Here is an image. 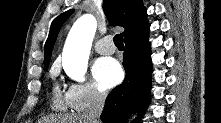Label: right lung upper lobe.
<instances>
[{"label": "right lung upper lobe", "mask_w": 221, "mask_h": 123, "mask_svg": "<svg viewBox=\"0 0 221 123\" xmlns=\"http://www.w3.org/2000/svg\"><path fill=\"white\" fill-rule=\"evenodd\" d=\"M103 8L109 22L113 26H122L124 42L144 36L149 32L146 9L141 0H104ZM74 10H68L56 17L45 43L44 65L50 62L54 43L62 24Z\"/></svg>", "instance_id": "obj_1"}]
</instances>
